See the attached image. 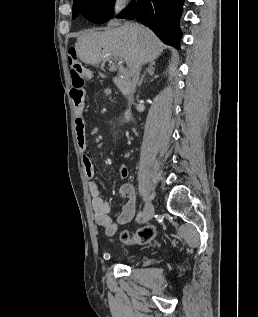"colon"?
<instances>
[{
	"mask_svg": "<svg viewBox=\"0 0 258 317\" xmlns=\"http://www.w3.org/2000/svg\"><path fill=\"white\" fill-rule=\"evenodd\" d=\"M68 62L72 76V83L84 86L93 79V71L89 67L83 65L77 55L75 47L68 49ZM156 230L153 225H146L138 229L135 233L123 231L121 240L127 244H145L155 236Z\"/></svg>",
	"mask_w": 258,
	"mask_h": 317,
	"instance_id": "obj_1",
	"label": "colon"
}]
</instances>
